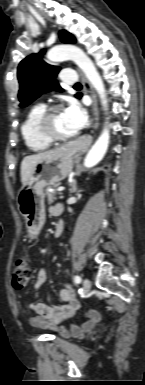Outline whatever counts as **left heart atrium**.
<instances>
[{
	"instance_id": "left-heart-atrium-1",
	"label": "left heart atrium",
	"mask_w": 145,
	"mask_h": 385,
	"mask_svg": "<svg viewBox=\"0 0 145 385\" xmlns=\"http://www.w3.org/2000/svg\"><path fill=\"white\" fill-rule=\"evenodd\" d=\"M64 115L74 131L82 129L87 121V116L82 107L75 101H70L64 109Z\"/></svg>"
}]
</instances>
